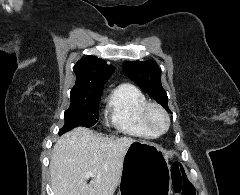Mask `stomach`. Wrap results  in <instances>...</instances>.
<instances>
[{
	"mask_svg": "<svg viewBox=\"0 0 240 195\" xmlns=\"http://www.w3.org/2000/svg\"><path fill=\"white\" fill-rule=\"evenodd\" d=\"M170 165L163 147L136 139L126 149L118 195H170Z\"/></svg>",
	"mask_w": 240,
	"mask_h": 195,
	"instance_id": "obj_1",
	"label": "stomach"
}]
</instances>
